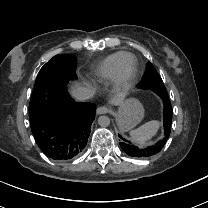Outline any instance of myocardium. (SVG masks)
Wrapping results in <instances>:
<instances>
[{
    "mask_svg": "<svg viewBox=\"0 0 208 208\" xmlns=\"http://www.w3.org/2000/svg\"><path fill=\"white\" fill-rule=\"evenodd\" d=\"M138 72L137 60H132L126 63L119 73L118 83L121 86H127L136 76Z\"/></svg>",
    "mask_w": 208,
    "mask_h": 208,
    "instance_id": "f54148a6",
    "label": "myocardium"
}]
</instances>
